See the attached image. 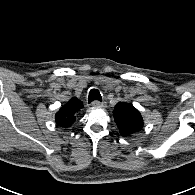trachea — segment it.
Wrapping results in <instances>:
<instances>
[{
    "label": "trachea",
    "instance_id": "obj_1",
    "mask_svg": "<svg viewBox=\"0 0 195 195\" xmlns=\"http://www.w3.org/2000/svg\"><path fill=\"white\" fill-rule=\"evenodd\" d=\"M93 101H102L101 94L97 89H91L89 92L88 102L91 103Z\"/></svg>",
    "mask_w": 195,
    "mask_h": 195
}]
</instances>
